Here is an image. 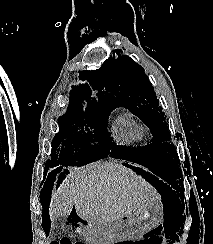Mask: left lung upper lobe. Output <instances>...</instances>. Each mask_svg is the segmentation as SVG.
<instances>
[{
	"instance_id": "5c2ea615",
	"label": "left lung upper lobe",
	"mask_w": 213,
	"mask_h": 244,
	"mask_svg": "<svg viewBox=\"0 0 213 244\" xmlns=\"http://www.w3.org/2000/svg\"><path fill=\"white\" fill-rule=\"evenodd\" d=\"M100 97L112 110L128 108L151 130L150 144L135 150L139 163L154 170L177 191L183 190V175L175 147L168 142L171 135L154 88L143 67L127 55L108 58L96 73Z\"/></svg>"
}]
</instances>
